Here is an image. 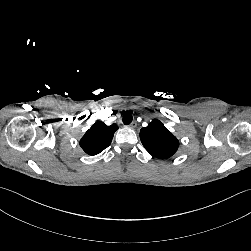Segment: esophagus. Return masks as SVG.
<instances>
[{
  "mask_svg": "<svg viewBox=\"0 0 251 251\" xmlns=\"http://www.w3.org/2000/svg\"><path fill=\"white\" fill-rule=\"evenodd\" d=\"M137 126L136 122H132L130 125H128L129 128L134 129Z\"/></svg>",
  "mask_w": 251,
  "mask_h": 251,
  "instance_id": "esophagus-1",
  "label": "esophagus"
}]
</instances>
